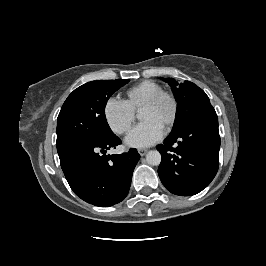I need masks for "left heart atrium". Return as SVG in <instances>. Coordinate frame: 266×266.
<instances>
[{
	"instance_id": "left-heart-atrium-1",
	"label": "left heart atrium",
	"mask_w": 266,
	"mask_h": 266,
	"mask_svg": "<svg viewBox=\"0 0 266 266\" xmlns=\"http://www.w3.org/2000/svg\"><path fill=\"white\" fill-rule=\"evenodd\" d=\"M163 135V124L155 119H148L137 124L127 135L125 142L130 147H148L159 141Z\"/></svg>"
}]
</instances>
